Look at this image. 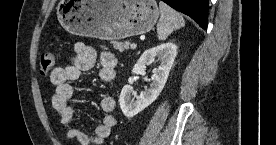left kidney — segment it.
<instances>
[{
  "label": "left kidney",
  "mask_w": 276,
  "mask_h": 145,
  "mask_svg": "<svg viewBox=\"0 0 276 145\" xmlns=\"http://www.w3.org/2000/svg\"><path fill=\"white\" fill-rule=\"evenodd\" d=\"M176 56L177 47L172 42L163 43L144 51L132 69L133 74L145 75L147 65L155 59L160 63L158 68L153 71L150 88L141 92L139 96L135 95L131 85L123 87L119 102L126 117H134L157 99L165 86ZM132 95L135 98H132Z\"/></svg>",
  "instance_id": "left-kidney-1"
}]
</instances>
